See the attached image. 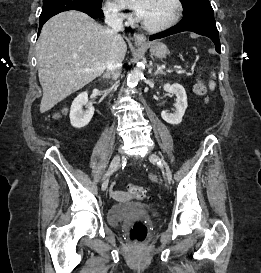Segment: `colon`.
I'll use <instances>...</instances> for the list:
<instances>
[{
  "label": "colon",
  "instance_id": "5ec220e1",
  "mask_svg": "<svg viewBox=\"0 0 261 273\" xmlns=\"http://www.w3.org/2000/svg\"><path fill=\"white\" fill-rule=\"evenodd\" d=\"M197 92L200 95L206 96V88L203 83L199 82L197 84ZM127 193L137 199V200H146L148 198V192L145 188L138 185H129L127 188ZM147 236V228L142 223H137L130 230V237L135 241H143Z\"/></svg>",
  "mask_w": 261,
  "mask_h": 273
}]
</instances>
